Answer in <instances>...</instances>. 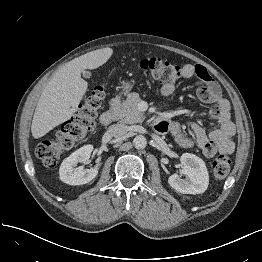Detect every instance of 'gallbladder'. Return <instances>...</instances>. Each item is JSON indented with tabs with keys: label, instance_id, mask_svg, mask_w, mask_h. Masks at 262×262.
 I'll list each match as a JSON object with an SVG mask.
<instances>
[{
	"label": "gallbladder",
	"instance_id": "obj_1",
	"mask_svg": "<svg viewBox=\"0 0 262 262\" xmlns=\"http://www.w3.org/2000/svg\"><path fill=\"white\" fill-rule=\"evenodd\" d=\"M82 76H83L85 79H90L91 76H92V73H91L90 71H88V70H84V71L82 72Z\"/></svg>",
	"mask_w": 262,
	"mask_h": 262
}]
</instances>
